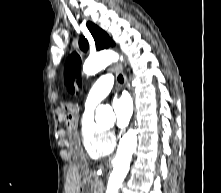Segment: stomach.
Segmentation results:
<instances>
[{
  "label": "stomach",
  "instance_id": "1",
  "mask_svg": "<svg viewBox=\"0 0 221 193\" xmlns=\"http://www.w3.org/2000/svg\"><path fill=\"white\" fill-rule=\"evenodd\" d=\"M65 102H61L59 108L62 109L63 123H68L69 127H74L75 123H79L78 107L72 98H65ZM72 138H77V133L71 134ZM68 152L72 155L70 167H89V162H86L87 154H83L81 142H70ZM83 174H90V169H83ZM78 193H93L91 182L89 179H84Z\"/></svg>",
  "mask_w": 221,
  "mask_h": 193
}]
</instances>
